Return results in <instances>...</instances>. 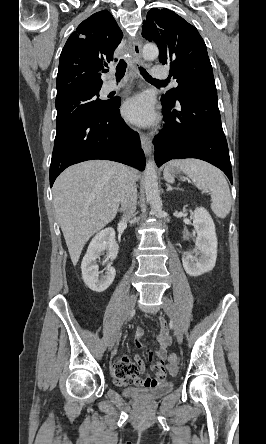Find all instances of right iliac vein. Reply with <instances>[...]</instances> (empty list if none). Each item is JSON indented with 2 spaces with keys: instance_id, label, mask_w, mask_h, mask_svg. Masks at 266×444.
<instances>
[{
  "instance_id": "1",
  "label": "right iliac vein",
  "mask_w": 266,
  "mask_h": 444,
  "mask_svg": "<svg viewBox=\"0 0 266 444\" xmlns=\"http://www.w3.org/2000/svg\"><path fill=\"white\" fill-rule=\"evenodd\" d=\"M136 300H137V296H136V294H131V295L129 296V298H128V300H127V303H126V307H125V311H124V314H123V318H122V320H121L119 326H118L117 329L115 330V333H114V335L112 336V338H111V340H110V343H109V345H108V349H109V350H112V348H113L115 342H116L117 339L119 338L121 327H122L123 324L127 321V319L129 318L131 312L133 311V308H134V306H135V304H136Z\"/></svg>"
}]
</instances>
